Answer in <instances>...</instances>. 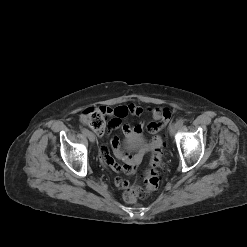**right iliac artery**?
I'll return each instance as SVG.
<instances>
[{
    "instance_id": "right-iliac-artery-1",
    "label": "right iliac artery",
    "mask_w": 247,
    "mask_h": 247,
    "mask_svg": "<svg viewBox=\"0 0 247 247\" xmlns=\"http://www.w3.org/2000/svg\"><path fill=\"white\" fill-rule=\"evenodd\" d=\"M82 133L87 136V134L89 133V131L87 129L83 128L82 129Z\"/></svg>"
}]
</instances>
